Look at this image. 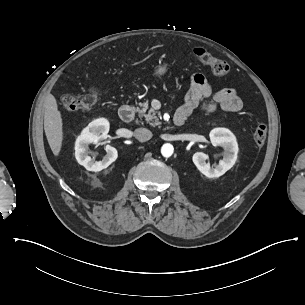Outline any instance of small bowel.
Returning a JSON list of instances; mask_svg holds the SVG:
<instances>
[{
    "instance_id": "small-bowel-1",
    "label": "small bowel",
    "mask_w": 305,
    "mask_h": 305,
    "mask_svg": "<svg viewBox=\"0 0 305 305\" xmlns=\"http://www.w3.org/2000/svg\"><path fill=\"white\" fill-rule=\"evenodd\" d=\"M205 99H211V101L205 102ZM197 108L208 113L218 109L234 113L242 108V101L234 89L214 90L202 74L196 73L190 77V88L186 94L185 102L177 113L188 117Z\"/></svg>"
}]
</instances>
